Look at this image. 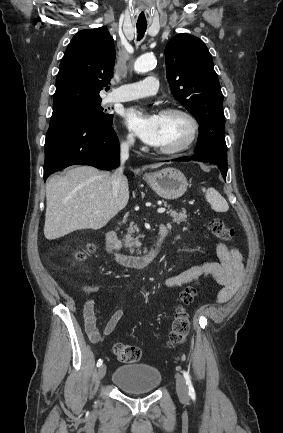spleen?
<instances>
[{
  "label": "spleen",
  "mask_w": 283,
  "mask_h": 433,
  "mask_svg": "<svg viewBox=\"0 0 283 433\" xmlns=\"http://www.w3.org/2000/svg\"><path fill=\"white\" fill-rule=\"evenodd\" d=\"M202 190L205 192L206 200L210 202L213 210H216V212H226L228 210L229 204L218 190H215V188H202Z\"/></svg>",
  "instance_id": "1"
}]
</instances>
